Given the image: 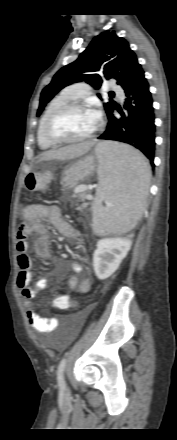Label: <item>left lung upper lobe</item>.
Segmentation results:
<instances>
[{"instance_id": "5c2ea615", "label": "left lung upper lobe", "mask_w": 177, "mask_h": 440, "mask_svg": "<svg viewBox=\"0 0 177 440\" xmlns=\"http://www.w3.org/2000/svg\"><path fill=\"white\" fill-rule=\"evenodd\" d=\"M140 69L135 53L124 38L114 31L102 32L77 60L61 68L43 89L37 116L57 92L72 83L85 81L98 89L104 79L114 78L124 89ZM104 108L108 116L115 109V102L104 103Z\"/></svg>"}]
</instances>
